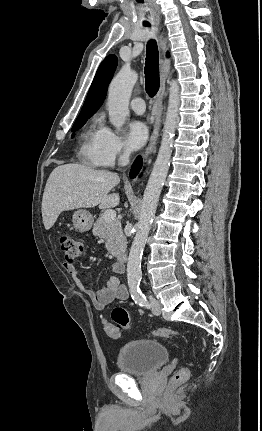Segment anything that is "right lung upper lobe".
Here are the masks:
<instances>
[{
    "label": "right lung upper lobe",
    "mask_w": 262,
    "mask_h": 431,
    "mask_svg": "<svg viewBox=\"0 0 262 431\" xmlns=\"http://www.w3.org/2000/svg\"><path fill=\"white\" fill-rule=\"evenodd\" d=\"M116 66L117 58L114 55H109L102 61L78 117H91L100 108Z\"/></svg>",
    "instance_id": "obj_1"
}]
</instances>
